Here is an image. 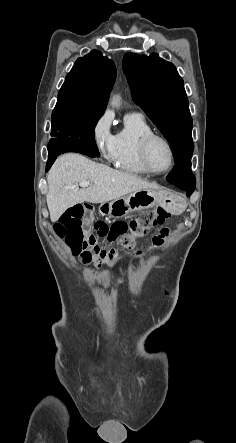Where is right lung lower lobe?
<instances>
[{"instance_id": "1", "label": "right lung lower lobe", "mask_w": 236, "mask_h": 443, "mask_svg": "<svg viewBox=\"0 0 236 443\" xmlns=\"http://www.w3.org/2000/svg\"><path fill=\"white\" fill-rule=\"evenodd\" d=\"M64 152H78L90 157L100 156L96 145H87L84 143L63 144L55 141L48 147V162L46 165V171L49 170L57 156Z\"/></svg>"}]
</instances>
